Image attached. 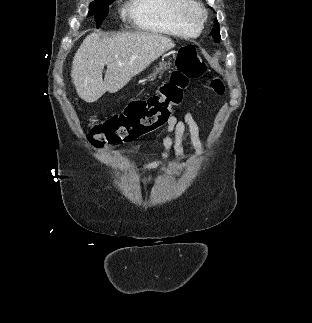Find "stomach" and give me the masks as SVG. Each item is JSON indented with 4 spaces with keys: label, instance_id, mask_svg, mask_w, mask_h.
Instances as JSON below:
<instances>
[{
    "label": "stomach",
    "instance_id": "0dacf381",
    "mask_svg": "<svg viewBox=\"0 0 312 323\" xmlns=\"http://www.w3.org/2000/svg\"><path fill=\"white\" fill-rule=\"evenodd\" d=\"M162 70H165V66H160V68H156L153 76H156V74H158V72H162Z\"/></svg>",
    "mask_w": 312,
    "mask_h": 323
}]
</instances>
